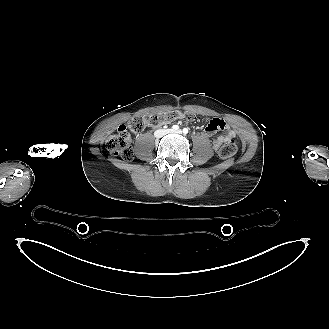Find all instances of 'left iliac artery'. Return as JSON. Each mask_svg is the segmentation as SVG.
I'll return each instance as SVG.
<instances>
[{"instance_id":"44dca946","label":"left iliac artery","mask_w":329,"mask_h":329,"mask_svg":"<svg viewBox=\"0 0 329 329\" xmlns=\"http://www.w3.org/2000/svg\"><path fill=\"white\" fill-rule=\"evenodd\" d=\"M188 132H189L188 128H184V129H183V133H184V134H187Z\"/></svg>"}]
</instances>
